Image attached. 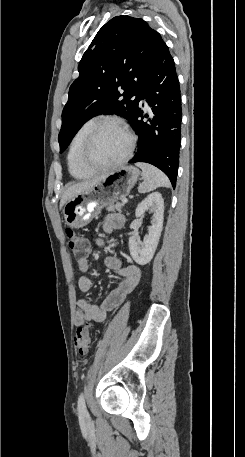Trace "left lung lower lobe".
Here are the masks:
<instances>
[{"label":"left lung lower lobe","instance_id":"1","mask_svg":"<svg viewBox=\"0 0 245 457\" xmlns=\"http://www.w3.org/2000/svg\"><path fill=\"white\" fill-rule=\"evenodd\" d=\"M139 95L152 112L144 115L139 103L130 121L139 140L137 153L129 163L146 162L158 167L175 187L181 144V94L174 60L162 39L153 51ZM144 117H149V123L143 121Z\"/></svg>","mask_w":245,"mask_h":457}]
</instances>
